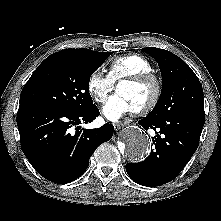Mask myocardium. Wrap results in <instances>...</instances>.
<instances>
[{"instance_id":"1","label":"myocardium","mask_w":221,"mask_h":221,"mask_svg":"<svg viewBox=\"0 0 221 221\" xmlns=\"http://www.w3.org/2000/svg\"><path fill=\"white\" fill-rule=\"evenodd\" d=\"M123 83L133 84V85L150 83L154 87V93H153L151 100L145 105H143L142 107L134 110V113L147 114L150 111H152L159 103L161 95H162V83L160 79L154 73L152 72L139 73V74H135V75L123 78L118 82L117 88L119 85Z\"/></svg>"}]
</instances>
